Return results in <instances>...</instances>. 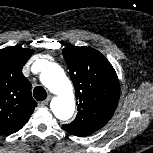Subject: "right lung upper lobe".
Wrapping results in <instances>:
<instances>
[{
    "mask_svg": "<svg viewBox=\"0 0 153 153\" xmlns=\"http://www.w3.org/2000/svg\"><path fill=\"white\" fill-rule=\"evenodd\" d=\"M34 53L31 49L10 46L0 50V133L10 135L29 120L36 101L22 68Z\"/></svg>",
    "mask_w": 153,
    "mask_h": 153,
    "instance_id": "obj_1",
    "label": "right lung upper lobe"
}]
</instances>
